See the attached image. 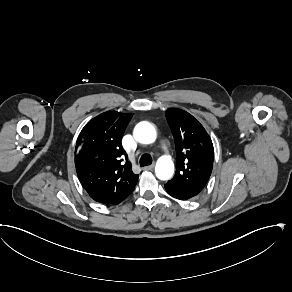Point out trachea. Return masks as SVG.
<instances>
[{
	"instance_id": "1",
	"label": "trachea",
	"mask_w": 292,
	"mask_h": 292,
	"mask_svg": "<svg viewBox=\"0 0 292 292\" xmlns=\"http://www.w3.org/2000/svg\"><path fill=\"white\" fill-rule=\"evenodd\" d=\"M139 163H140L141 167H145V166L151 165L152 157L149 154H143L141 156V158H140Z\"/></svg>"
}]
</instances>
